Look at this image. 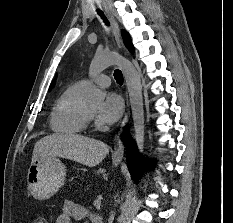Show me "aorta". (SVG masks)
Here are the masks:
<instances>
[{
    "label": "aorta",
    "mask_w": 233,
    "mask_h": 223,
    "mask_svg": "<svg viewBox=\"0 0 233 223\" xmlns=\"http://www.w3.org/2000/svg\"><path fill=\"white\" fill-rule=\"evenodd\" d=\"M118 66L120 68L124 80L127 84L132 117L134 123L135 139L137 147L140 153H143L144 149V135H145V119H144V108H143V96H142V86L141 80L131 62L123 60L121 56H108V58H94L90 64L89 76H96V74H101L103 70H106L108 66ZM105 92L96 88V86H90L87 88L85 94V102L88 104H100L105 100ZM133 195V191H130L129 197Z\"/></svg>",
    "instance_id": "762f6f07"
}]
</instances>
